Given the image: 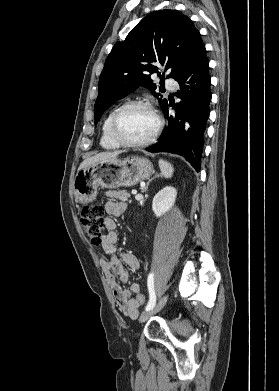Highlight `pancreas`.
I'll list each match as a JSON object with an SVG mask.
<instances>
[{"mask_svg":"<svg viewBox=\"0 0 279 391\" xmlns=\"http://www.w3.org/2000/svg\"><path fill=\"white\" fill-rule=\"evenodd\" d=\"M105 195L112 199H117L120 201H128L130 198V193L127 191H106Z\"/></svg>","mask_w":279,"mask_h":391,"instance_id":"1","label":"pancreas"}]
</instances>
